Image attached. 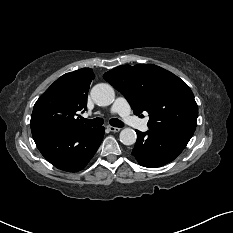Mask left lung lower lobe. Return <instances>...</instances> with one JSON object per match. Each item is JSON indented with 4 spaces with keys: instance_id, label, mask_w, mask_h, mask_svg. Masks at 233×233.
<instances>
[{
    "instance_id": "obj_1",
    "label": "left lung lower lobe",
    "mask_w": 233,
    "mask_h": 233,
    "mask_svg": "<svg viewBox=\"0 0 233 233\" xmlns=\"http://www.w3.org/2000/svg\"><path fill=\"white\" fill-rule=\"evenodd\" d=\"M137 132V141L132 151L140 165L160 167L174 160L185 148L190 138L170 133L149 130Z\"/></svg>"
}]
</instances>
